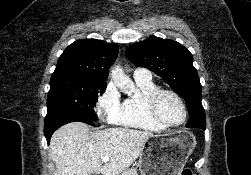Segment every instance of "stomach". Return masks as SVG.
Returning a JSON list of instances; mask_svg holds the SVG:
<instances>
[{
    "mask_svg": "<svg viewBox=\"0 0 251 175\" xmlns=\"http://www.w3.org/2000/svg\"><path fill=\"white\" fill-rule=\"evenodd\" d=\"M195 145V135L187 129H179L175 137H148L137 163L141 175H179Z\"/></svg>",
    "mask_w": 251,
    "mask_h": 175,
    "instance_id": "stomach-1",
    "label": "stomach"
}]
</instances>
